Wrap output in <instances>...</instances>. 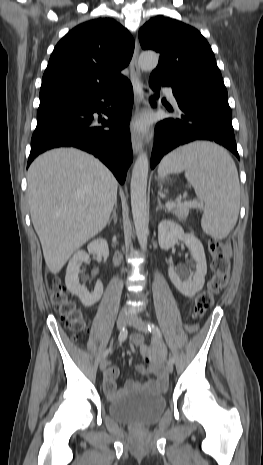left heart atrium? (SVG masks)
<instances>
[{"mask_svg":"<svg viewBox=\"0 0 263 465\" xmlns=\"http://www.w3.org/2000/svg\"><path fill=\"white\" fill-rule=\"evenodd\" d=\"M133 126L137 131H144L147 128V121L145 118H139L134 122Z\"/></svg>","mask_w":263,"mask_h":465,"instance_id":"left-heart-atrium-1","label":"left heart atrium"}]
</instances>
